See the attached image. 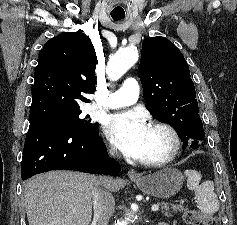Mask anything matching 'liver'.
I'll return each instance as SVG.
<instances>
[{"instance_id": "6515ba94", "label": "liver", "mask_w": 237, "mask_h": 225, "mask_svg": "<svg viewBox=\"0 0 237 225\" xmlns=\"http://www.w3.org/2000/svg\"><path fill=\"white\" fill-rule=\"evenodd\" d=\"M98 177L72 171H50L26 182L25 210L29 225H89ZM120 182L112 180L111 190Z\"/></svg>"}]
</instances>
